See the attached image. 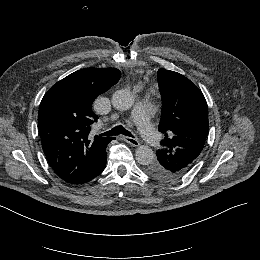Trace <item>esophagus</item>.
<instances>
[{"mask_svg":"<svg viewBox=\"0 0 260 260\" xmlns=\"http://www.w3.org/2000/svg\"><path fill=\"white\" fill-rule=\"evenodd\" d=\"M123 138H124V140H125L128 144H130V145H132V146L137 147V146L140 145L139 140H138L137 138L129 137V136H124Z\"/></svg>","mask_w":260,"mask_h":260,"instance_id":"esophagus-1","label":"esophagus"}]
</instances>
